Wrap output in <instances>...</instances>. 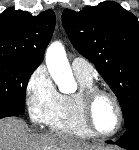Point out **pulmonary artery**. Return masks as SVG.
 I'll return each mask as SVG.
<instances>
[{
  "label": "pulmonary artery",
  "instance_id": "e3ab8cb5",
  "mask_svg": "<svg viewBox=\"0 0 139 150\" xmlns=\"http://www.w3.org/2000/svg\"><path fill=\"white\" fill-rule=\"evenodd\" d=\"M71 66L76 76H80L86 79L93 78V67L84 58H80V57L74 58Z\"/></svg>",
  "mask_w": 139,
  "mask_h": 150
}]
</instances>
